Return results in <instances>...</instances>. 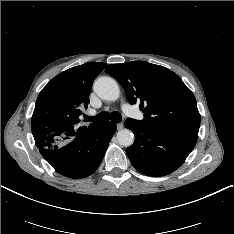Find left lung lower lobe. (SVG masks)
<instances>
[{"label": "left lung lower lobe", "mask_w": 234, "mask_h": 234, "mask_svg": "<svg viewBox=\"0 0 234 234\" xmlns=\"http://www.w3.org/2000/svg\"><path fill=\"white\" fill-rule=\"evenodd\" d=\"M125 126L135 135V142L126 149L136 170L148 176H164L179 168L194 148L198 128L156 127L134 119Z\"/></svg>", "instance_id": "left-lung-lower-lobe-1"}]
</instances>
